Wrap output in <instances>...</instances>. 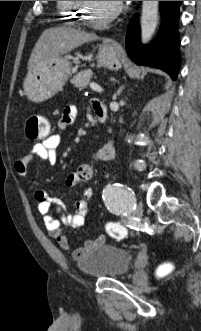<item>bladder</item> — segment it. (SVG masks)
<instances>
[{
  "label": "bladder",
  "instance_id": "bladder-1",
  "mask_svg": "<svg viewBox=\"0 0 201 331\" xmlns=\"http://www.w3.org/2000/svg\"><path fill=\"white\" fill-rule=\"evenodd\" d=\"M132 256L125 249L111 243L90 250L77 262L79 270L91 278H117L125 275Z\"/></svg>",
  "mask_w": 201,
  "mask_h": 331
}]
</instances>
